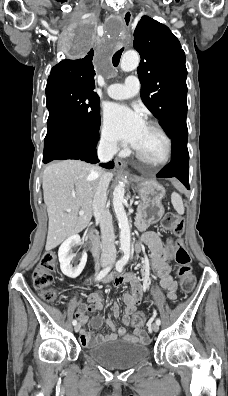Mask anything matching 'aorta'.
Listing matches in <instances>:
<instances>
[{
    "mask_svg": "<svg viewBox=\"0 0 228 396\" xmlns=\"http://www.w3.org/2000/svg\"><path fill=\"white\" fill-rule=\"evenodd\" d=\"M139 55L135 51H127L121 58L120 67L123 71L129 72L136 69L139 65ZM125 185L120 182L113 192V208L120 228V249L130 250V226L123 206Z\"/></svg>",
    "mask_w": 228,
    "mask_h": 396,
    "instance_id": "1",
    "label": "aorta"
}]
</instances>
